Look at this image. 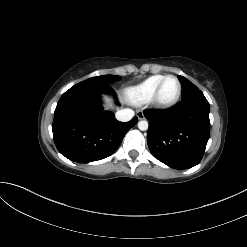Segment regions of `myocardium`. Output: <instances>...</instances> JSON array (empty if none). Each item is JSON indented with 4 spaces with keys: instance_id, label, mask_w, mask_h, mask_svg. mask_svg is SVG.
Returning a JSON list of instances; mask_svg holds the SVG:
<instances>
[{
    "instance_id": "myocardium-1",
    "label": "myocardium",
    "mask_w": 247,
    "mask_h": 247,
    "mask_svg": "<svg viewBox=\"0 0 247 247\" xmlns=\"http://www.w3.org/2000/svg\"><path fill=\"white\" fill-rule=\"evenodd\" d=\"M169 78H173L176 80L177 86H178L177 93L174 96V98H172L171 100L163 101L160 98L161 89H162L164 83L166 82V80H168ZM181 93H182V84H181L179 78L177 76H174V75H167L161 80V82L157 86L151 101H152V104L158 109H163V110L169 109L178 103V101L181 97Z\"/></svg>"
}]
</instances>
